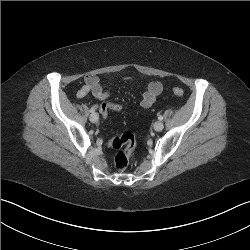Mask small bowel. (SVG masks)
<instances>
[{"label": "small bowel", "mask_w": 250, "mask_h": 250, "mask_svg": "<svg viewBox=\"0 0 250 250\" xmlns=\"http://www.w3.org/2000/svg\"><path fill=\"white\" fill-rule=\"evenodd\" d=\"M132 77H124L123 80L129 81L132 80ZM110 85L111 83H107L105 86L100 84V80L95 75H87L84 77V84L77 91V97L82 98L86 96L88 93H92V95L98 100H106L110 96ZM163 86L159 81H151L147 84L146 90L143 93V97L141 100V106L144 108H149L154 105L162 93Z\"/></svg>", "instance_id": "c3829d8e"}]
</instances>
